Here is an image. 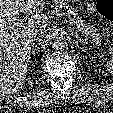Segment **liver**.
Here are the masks:
<instances>
[{
	"label": "liver",
	"mask_w": 113,
	"mask_h": 113,
	"mask_svg": "<svg viewBox=\"0 0 113 113\" xmlns=\"http://www.w3.org/2000/svg\"><path fill=\"white\" fill-rule=\"evenodd\" d=\"M43 0H0V93L19 91L25 80L31 49L33 31L48 25ZM19 9L32 14L26 26H15Z\"/></svg>",
	"instance_id": "6515ba94"
}]
</instances>
